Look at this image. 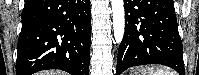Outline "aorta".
Instances as JSON below:
<instances>
[{"instance_id":"762f6f07","label":"aorta","mask_w":199,"mask_h":75,"mask_svg":"<svg viewBox=\"0 0 199 75\" xmlns=\"http://www.w3.org/2000/svg\"><path fill=\"white\" fill-rule=\"evenodd\" d=\"M113 14V31L116 43H120L125 30V13L123 0H111Z\"/></svg>"}]
</instances>
